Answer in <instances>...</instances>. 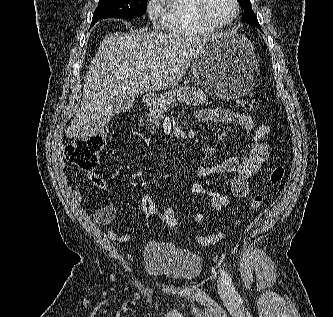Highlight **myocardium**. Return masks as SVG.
<instances>
[{
	"label": "myocardium",
	"mask_w": 333,
	"mask_h": 317,
	"mask_svg": "<svg viewBox=\"0 0 333 317\" xmlns=\"http://www.w3.org/2000/svg\"><path fill=\"white\" fill-rule=\"evenodd\" d=\"M232 1L235 5V12H234L233 16L230 19H228L227 21L217 22L208 15L209 0H194L195 17L199 23H201L203 26L210 28L212 30L226 28V27L232 25L237 20V18L240 15V12H241V5H240L239 0H232Z\"/></svg>",
	"instance_id": "1"
}]
</instances>
